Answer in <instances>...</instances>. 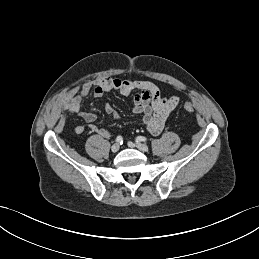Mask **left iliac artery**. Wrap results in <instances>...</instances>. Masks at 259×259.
Masks as SVG:
<instances>
[{
  "label": "left iliac artery",
  "instance_id": "obj_1",
  "mask_svg": "<svg viewBox=\"0 0 259 259\" xmlns=\"http://www.w3.org/2000/svg\"><path fill=\"white\" fill-rule=\"evenodd\" d=\"M137 141H143V142H145V141H147V138L144 137V136H138V137H137Z\"/></svg>",
  "mask_w": 259,
  "mask_h": 259
}]
</instances>
